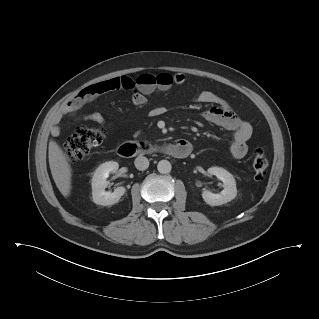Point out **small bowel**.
<instances>
[{"mask_svg":"<svg viewBox=\"0 0 319 319\" xmlns=\"http://www.w3.org/2000/svg\"><path fill=\"white\" fill-rule=\"evenodd\" d=\"M128 79L130 78L126 76L111 77L84 88L79 94L64 104L51 127V134L53 136L59 135V124L62 117L74 115L86 103L93 101L101 95L121 88L120 85ZM185 80L186 78L182 73H177L175 75L163 73L159 85L148 90L134 89L131 92V100L135 105H144L147 102L148 95L156 91L168 90L173 84L182 85ZM196 101L203 104H211V106L202 114L206 121L232 131L233 140L228 149L230 157L236 160L245 157L248 152L247 141L252 135L251 124L239 118L232 107L223 98L213 92L201 91L197 94ZM162 113L161 107H154L151 110L153 116L161 115ZM83 120L98 124H103L105 122L104 116L99 112L86 114L83 116Z\"/></svg>","mask_w":319,"mask_h":319,"instance_id":"c3829d8e","label":"small bowel"}]
</instances>
